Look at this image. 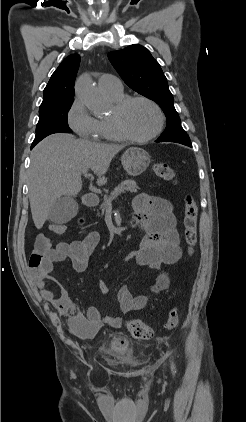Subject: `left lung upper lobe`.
<instances>
[{"mask_svg":"<svg viewBox=\"0 0 246 422\" xmlns=\"http://www.w3.org/2000/svg\"><path fill=\"white\" fill-rule=\"evenodd\" d=\"M108 58L131 89L155 101L164 111L167 127L157 142L191 143L181 126L167 79L150 52L145 47L134 44L108 53Z\"/></svg>","mask_w":246,"mask_h":422,"instance_id":"left-lung-upper-lobe-1","label":"left lung upper lobe"}]
</instances>
